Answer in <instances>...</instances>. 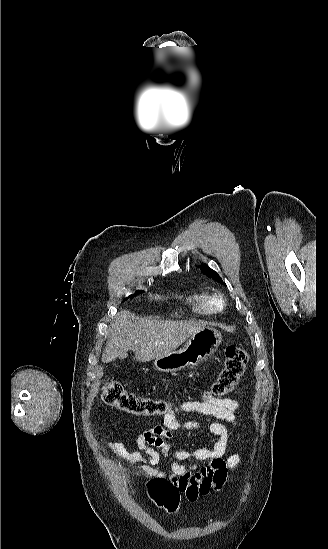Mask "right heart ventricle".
Returning <instances> with one entry per match:
<instances>
[{
	"label": "right heart ventricle",
	"instance_id": "e07e8e85",
	"mask_svg": "<svg viewBox=\"0 0 328 549\" xmlns=\"http://www.w3.org/2000/svg\"><path fill=\"white\" fill-rule=\"evenodd\" d=\"M192 310L201 316H211L214 310L213 296L207 292H197L191 296Z\"/></svg>",
	"mask_w": 328,
	"mask_h": 549
}]
</instances>
